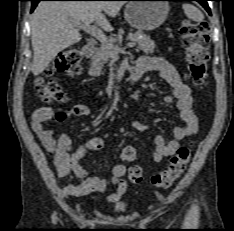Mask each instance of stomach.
<instances>
[{
    "label": "stomach",
    "instance_id": "1",
    "mask_svg": "<svg viewBox=\"0 0 234 231\" xmlns=\"http://www.w3.org/2000/svg\"><path fill=\"white\" fill-rule=\"evenodd\" d=\"M170 7L165 0H134L126 5V21L139 31H151L166 20Z\"/></svg>",
    "mask_w": 234,
    "mask_h": 231
}]
</instances>
